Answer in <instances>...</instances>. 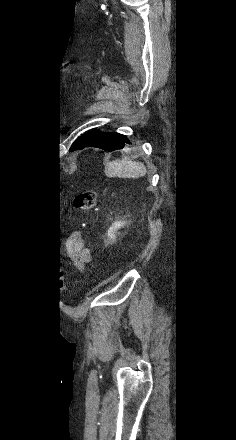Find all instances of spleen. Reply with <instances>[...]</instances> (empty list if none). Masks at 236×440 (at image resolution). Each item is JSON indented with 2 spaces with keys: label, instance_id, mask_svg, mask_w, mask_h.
Wrapping results in <instances>:
<instances>
[{
  "label": "spleen",
  "instance_id": "1",
  "mask_svg": "<svg viewBox=\"0 0 236 440\" xmlns=\"http://www.w3.org/2000/svg\"><path fill=\"white\" fill-rule=\"evenodd\" d=\"M105 173L108 177L139 178L146 175L143 163L131 160H116L107 164Z\"/></svg>",
  "mask_w": 236,
  "mask_h": 440
}]
</instances>
